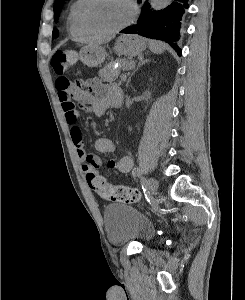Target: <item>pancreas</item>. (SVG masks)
Instances as JSON below:
<instances>
[{"label":"pancreas","mask_w":245,"mask_h":300,"mask_svg":"<svg viewBox=\"0 0 245 300\" xmlns=\"http://www.w3.org/2000/svg\"><path fill=\"white\" fill-rule=\"evenodd\" d=\"M119 63V67L118 68H114V65L116 63ZM132 61H128V60H117V61H112L109 64H107L104 68H102L99 71V76L101 77V79L105 82H109L112 83L113 81H115L118 76L121 73V70H126L128 65L131 63ZM125 75L122 74L121 75V80L120 83L124 80Z\"/></svg>","instance_id":"1"}]
</instances>
